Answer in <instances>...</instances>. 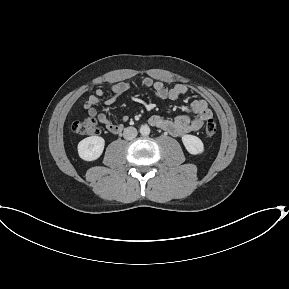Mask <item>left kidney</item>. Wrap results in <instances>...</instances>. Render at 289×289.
<instances>
[{"mask_svg": "<svg viewBox=\"0 0 289 289\" xmlns=\"http://www.w3.org/2000/svg\"><path fill=\"white\" fill-rule=\"evenodd\" d=\"M182 142L186 150L192 155L202 154L204 152V145L200 138L194 135H184Z\"/></svg>", "mask_w": 289, "mask_h": 289, "instance_id": "obj_1", "label": "left kidney"}]
</instances>
